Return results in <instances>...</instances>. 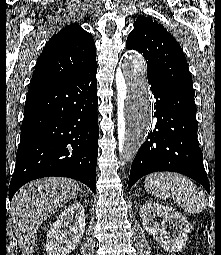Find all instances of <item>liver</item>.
Instances as JSON below:
<instances>
[{
  "mask_svg": "<svg viewBox=\"0 0 221 255\" xmlns=\"http://www.w3.org/2000/svg\"><path fill=\"white\" fill-rule=\"evenodd\" d=\"M80 191L69 178L49 177L24 185L11 202V215L22 255H33L38 229Z\"/></svg>",
  "mask_w": 221,
  "mask_h": 255,
  "instance_id": "obj_1",
  "label": "liver"
}]
</instances>
